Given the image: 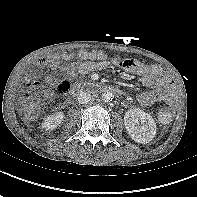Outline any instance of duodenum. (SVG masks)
Returning a JSON list of instances; mask_svg holds the SVG:
<instances>
[{"label":"duodenum","mask_w":197,"mask_h":197,"mask_svg":"<svg viewBox=\"0 0 197 197\" xmlns=\"http://www.w3.org/2000/svg\"><path fill=\"white\" fill-rule=\"evenodd\" d=\"M84 91H88V92H94V93H99V92H106V91H113V92H116V93H121V90L117 87H112V86H109V85H89V86H86V87H76L74 89V92L75 93H81V92H84Z\"/></svg>","instance_id":"obj_1"}]
</instances>
